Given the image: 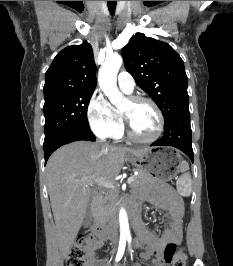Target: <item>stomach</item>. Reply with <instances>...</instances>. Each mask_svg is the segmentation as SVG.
Masks as SVG:
<instances>
[{"label":"stomach","mask_w":233,"mask_h":266,"mask_svg":"<svg viewBox=\"0 0 233 266\" xmlns=\"http://www.w3.org/2000/svg\"><path fill=\"white\" fill-rule=\"evenodd\" d=\"M128 160L139 171L153 176V180H175L176 168L173 166H182L184 156H180L179 147H154L143 155H132Z\"/></svg>","instance_id":"1"}]
</instances>
